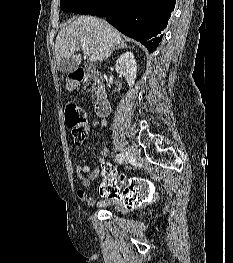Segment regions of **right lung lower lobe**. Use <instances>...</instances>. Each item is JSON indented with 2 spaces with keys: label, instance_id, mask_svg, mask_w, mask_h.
<instances>
[{
  "label": "right lung lower lobe",
  "instance_id": "right-lung-lower-lobe-1",
  "mask_svg": "<svg viewBox=\"0 0 233 263\" xmlns=\"http://www.w3.org/2000/svg\"><path fill=\"white\" fill-rule=\"evenodd\" d=\"M176 0H102L89 13L104 16L123 34L155 51Z\"/></svg>",
  "mask_w": 233,
  "mask_h": 263
}]
</instances>
